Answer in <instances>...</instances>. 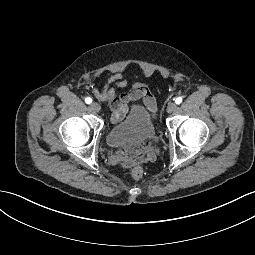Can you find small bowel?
<instances>
[{"label":"small bowel","instance_id":"small-bowel-1","mask_svg":"<svg viewBox=\"0 0 255 255\" xmlns=\"http://www.w3.org/2000/svg\"><path fill=\"white\" fill-rule=\"evenodd\" d=\"M128 81L124 74L111 72L107 76L106 84L102 90L92 89L93 95L102 103L108 105L112 112L111 122L121 120L129 111V103L142 99L145 106L153 113H156V100L151 94L147 85L135 82L133 88L124 93L117 94V88L126 87ZM155 159L153 150L147 145H141L130 149H121L114 153L111 162L122 168H132L141 163H152Z\"/></svg>","mask_w":255,"mask_h":255}]
</instances>
